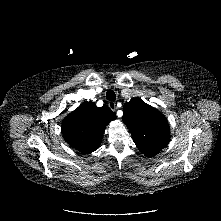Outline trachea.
<instances>
[{
    "label": "trachea",
    "instance_id": "obj_1",
    "mask_svg": "<svg viewBox=\"0 0 221 221\" xmlns=\"http://www.w3.org/2000/svg\"><path fill=\"white\" fill-rule=\"evenodd\" d=\"M106 98L109 101H115L116 100V94L113 90H108L106 93Z\"/></svg>",
    "mask_w": 221,
    "mask_h": 221
}]
</instances>
